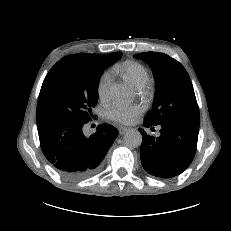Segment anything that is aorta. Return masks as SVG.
<instances>
[{
    "instance_id": "762f6f07",
    "label": "aorta",
    "mask_w": 231,
    "mask_h": 231,
    "mask_svg": "<svg viewBox=\"0 0 231 231\" xmlns=\"http://www.w3.org/2000/svg\"><path fill=\"white\" fill-rule=\"evenodd\" d=\"M110 92L112 96L120 101L126 102L130 97V90L123 84H114ZM124 143L129 148H137L142 143V135L136 129H129L124 134Z\"/></svg>"
}]
</instances>
